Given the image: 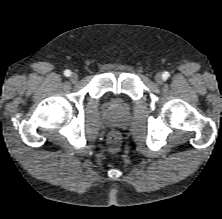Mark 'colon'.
<instances>
[{
  "mask_svg": "<svg viewBox=\"0 0 222 219\" xmlns=\"http://www.w3.org/2000/svg\"><path fill=\"white\" fill-rule=\"evenodd\" d=\"M121 143V135L117 131H112L107 136V144L111 151L115 152L119 149Z\"/></svg>",
  "mask_w": 222,
  "mask_h": 219,
  "instance_id": "5ec220e1",
  "label": "colon"
}]
</instances>
